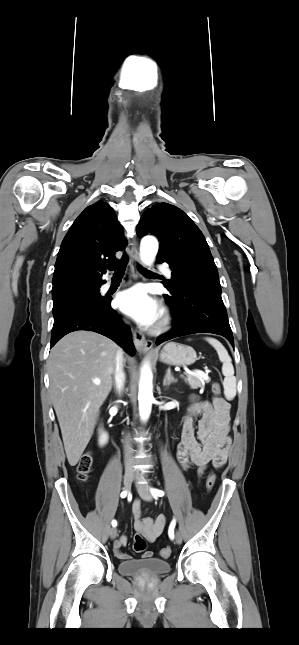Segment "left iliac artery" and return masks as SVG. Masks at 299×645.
Listing matches in <instances>:
<instances>
[{"instance_id": "44dca946", "label": "left iliac artery", "mask_w": 299, "mask_h": 645, "mask_svg": "<svg viewBox=\"0 0 299 645\" xmlns=\"http://www.w3.org/2000/svg\"><path fill=\"white\" fill-rule=\"evenodd\" d=\"M151 493H152V495H153L155 498H157V496L162 497V496L164 495V492H163L162 490L155 489V488H151ZM175 525H176V521H175V519H174V520L171 522V524H170V526H169V530H168V535H169V537H170L171 539H173V538H174V528H175Z\"/></svg>"}]
</instances>
